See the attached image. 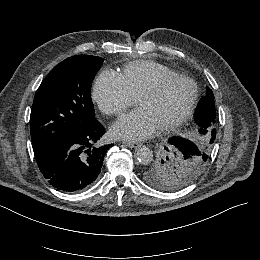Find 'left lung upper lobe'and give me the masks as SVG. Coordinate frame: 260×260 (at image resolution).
<instances>
[{"label": "left lung upper lobe", "mask_w": 260, "mask_h": 260, "mask_svg": "<svg viewBox=\"0 0 260 260\" xmlns=\"http://www.w3.org/2000/svg\"><path fill=\"white\" fill-rule=\"evenodd\" d=\"M204 97L214 101L213 92L209 88ZM215 130L216 121L209 127L194 126L190 131L182 134L183 138L197 145L199 151L192 154L182 153L168 141L160 148L153 161L142 169V178L152 187L167 192L188 186L200 176L211 161Z\"/></svg>", "instance_id": "left-lung-upper-lobe-1"}]
</instances>
